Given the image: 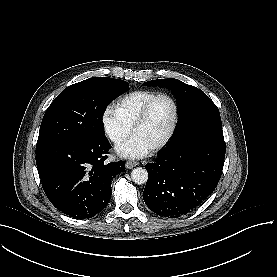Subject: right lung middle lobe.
<instances>
[{
    "instance_id": "dd1d6c3e",
    "label": "right lung middle lobe",
    "mask_w": 277,
    "mask_h": 277,
    "mask_svg": "<svg viewBox=\"0 0 277 277\" xmlns=\"http://www.w3.org/2000/svg\"><path fill=\"white\" fill-rule=\"evenodd\" d=\"M123 80L94 77L65 88L47 109L37 144L104 137L106 106L128 90Z\"/></svg>"
}]
</instances>
